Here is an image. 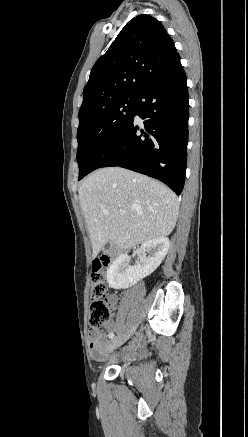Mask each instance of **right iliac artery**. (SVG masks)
I'll return each mask as SVG.
<instances>
[{
    "label": "right iliac artery",
    "mask_w": 248,
    "mask_h": 437,
    "mask_svg": "<svg viewBox=\"0 0 248 437\" xmlns=\"http://www.w3.org/2000/svg\"><path fill=\"white\" fill-rule=\"evenodd\" d=\"M108 336L112 339L114 337V333H110Z\"/></svg>",
    "instance_id": "1"
}]
</instances>
